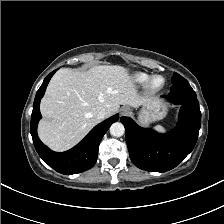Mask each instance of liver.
<instances>
[{"label": "liver", "instance_id": "6515ba94", "mask_svg": "<svg viewBox=\"0 0 224 224\" xmlns=\"http://www.w3.org/2000/svg\"><path fill=\"white\" fill-rule=\"evenodd\" d=\"M148 102L139 95L127 68L119 65L94 66L81 72L60 69L51 79L40 111V139L55 151H65L78 143L100 120L105 108L107 117L120 105L137 108Z\"/></svg>", "mask_w": 224, "mask_h": 224}]
</instances>
